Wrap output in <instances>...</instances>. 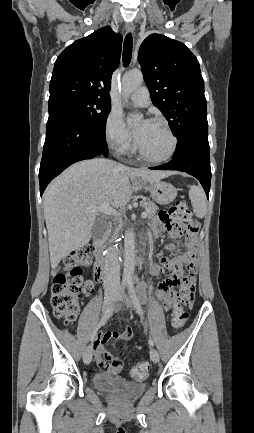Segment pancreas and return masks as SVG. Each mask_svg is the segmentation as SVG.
<instances>
[{"mask_svg":"<svg viewBox=\"0 0 254 433\" xmlns=\"http://www.w3.org/2000/svg\"><path fill=\"white\" fill-rule=\"evenodd\" d=\"M140 206L145 208V211L147 213V217L151 218L156 214V211L158 210V207L156 206V204H154L153 202H149V201H142L140 202ZM124 223L122 221H119L117 226L114 229L113 232V238H115L119 231L122 229Z\"/></svg>","mask_w":254,"mask_h":433,"instance_id":"obj_1","label":"pancreas"}]
</instances>
